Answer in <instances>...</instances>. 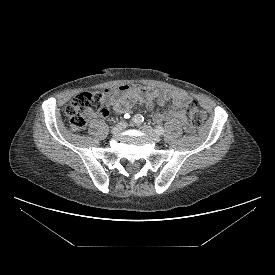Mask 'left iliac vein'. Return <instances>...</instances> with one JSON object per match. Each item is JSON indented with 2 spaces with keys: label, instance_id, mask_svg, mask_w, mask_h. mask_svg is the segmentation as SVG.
Here are the masks:
<instances>
[{
  "label": "left iliac vein",
  "instance_id": "1",
  "mask_svg": "<svg viewBox=\"0 0 275 275\" xmlns=\"http://www.w3.org/2000/svg\"><path fill=\"white\" fill-rule=\"evenodd\" d=\"M140 129L143 130L146 134H148L155 142L160 141L159 135L151 126L143 125L140 127Z\"/></svg>",
  "mask_w": 275,
  "mask_h": 275
}]
</instances>
